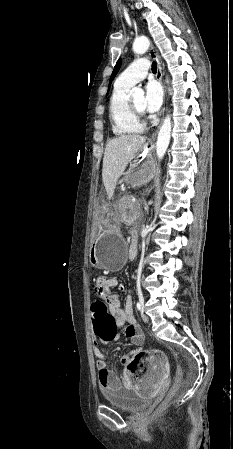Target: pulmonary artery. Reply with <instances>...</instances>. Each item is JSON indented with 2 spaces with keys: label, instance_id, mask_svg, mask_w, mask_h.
Instances as JSON below:
<instances>
[{
  "label": "pulmonary artery",
  "instance_id": "e3ab8cb5",
  "mask_svg": "<svg viewBox=\"0 0 233 449\" xmlns=\"http://www.w3.org/2000/svg\"><path fill=\"white\" fill-rule=\"evenodd\" d=\"M150 68L146 59H137L132 62L117 78L116 83L123 86L132 87L143 80Z\"/></svg>",
  "mask_w": 233,
  "mask_h": 449
}]
</instances>
